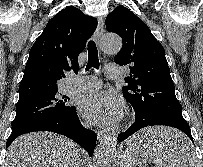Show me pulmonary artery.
<instances>
[{
    "label": "pulmonary artery",
    "instance_id": "1",
    "mask_svg": "<svg viewBox=\"0 0 203 167\" xmlns=\"http://www.w3.org/2000/svg\"><path fill=\"white\" fill-rule=\"evenodd\" d=\"M106 76L108 78H118L122 69L116 64H108L105 67ZM101 86V81L95 76H72L68 83L70 90L88 91L95 90Z\"/></svg>",
    "mask_w": 203,
    "mask_h": 167
}]
</instances>
